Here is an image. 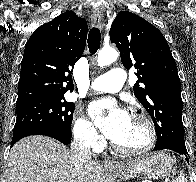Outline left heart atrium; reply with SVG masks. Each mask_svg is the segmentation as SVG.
<instances>
[{
  "label": "left heart atrium",
  "instance_id": "1",
  "mask_svg": "<svg viewBox=\"0 0 196 182\" xmlns=\"http://www.w3.org/2000/svg\"><path fill=\"white\" fill-rule=\"evenodd\" d=\"M89 111L104 135L113 141L123 134L130 121L129 115L112 99L93 102Z\"/></svg>",
  "mask_w": 196,
  "mask_h": 182
}]
</instances>
